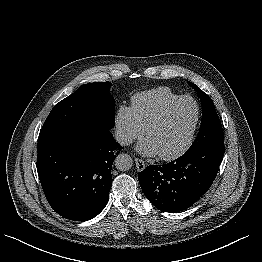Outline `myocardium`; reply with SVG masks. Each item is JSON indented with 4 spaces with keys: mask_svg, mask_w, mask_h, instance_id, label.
I'll use <instances>...</instances> for the list:
<instances>
[{
    "mask_svg": "<svg viewBox=\"0 0 262 262\" xmlns=\"http://www.w3.org/2000/svg\"><path fill=\"white\" fill-rule=\"evenodd\" d=\"M185 100H190L194 103L195 107H196V115L194 118V122L193 125L191 127V130L188 134V137L186 139V141L184 142V144L177 149L176 151H174L173 153L170 154H159V157L162 160H166V161H171V160H175L177 158H179L180 156H182L191 146L198 124H199V120H200V115H201V109H200V105L197 102V100L195 98H193L192 96H180L179 98H177L176 100L172 101L171 103H169L167 106H165L161 112L151 121V123L148 125V127L146 128V135L149 136L150 132L158 127L159 125H161L166 117L168 116V114L172 111L173 108H175L179 103H181L182 101Z\"/></svg>",
    "mask_w": 262,
    "mask_h": 262,
    "instance_id": "1",
    "label": "myocardium"
}]
</instances>
